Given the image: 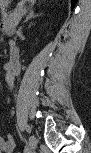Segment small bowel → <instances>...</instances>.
<instances>
[{"mask_svg":"<svg viewBox=\"0 0 91 153\" xmlns=\"http://www.w3.org/2000/svg\"><path fill=\"white\" fill-rule=\"evenodd\" d=\"M11 64H12V69L9 71L8 73V84L11 86L12 85V80H13V77L15 76V70H14V58H12L11 60ZM0 149L2 152L4 153H12L15 149V142L14 140L12 139L11 136H7L6 138L4 139H1L0 140Z\"/></svg>","mask_w":91,"mask_h":153,"instance_id":"1","label":"small bowel"}]
</instances>
